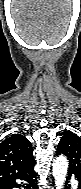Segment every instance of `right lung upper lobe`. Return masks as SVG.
<instances>
[{
    "label": "right lung upper lobe",
    "mask_w": 81,
    "mask_h": 189,
    "mask_svg": "<svg viewBox=\"0 0 81 189\" xmlns=\"http://www.w3.org/2000/svg\"><path fill=\"white\" fill-rule=\"evenodd\" d=\"M33 165V148L26 137L13 134L0 143V182L10 180Z\"/></svg>",
    "instance_id": "right-lung-upper-lobe-1"
}]
</instances>
